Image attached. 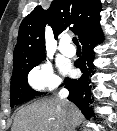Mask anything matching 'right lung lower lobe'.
<instances>
[{"instance_id": "obj_1", "label": "right lung lower lobe", "mask_w": 117, "mask_h": 131, "mask_svg": "<svg viewBox=\"0 0 117 131\" xmlns=\"http://www.w3.org/2000/svg\"><path fill=\"white\" fill-rule=\"evenodd\" d=\"M102 39V31L99 30L81 41L83 55L75 61V66L81 69L82 77L77 80L70 78L64 80L65 88L69 90L68 99L78 106L86 118L94 115L91 76L94 74V48Z\"/></svg>"}]
</instances>
